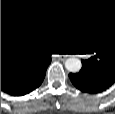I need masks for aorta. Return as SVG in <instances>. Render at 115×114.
<instances>
[{
  "label": "aorta",
  "mask_w": 115,
  "mask_h": 114,
  "mask_svg": "<svg viewBox=\"0 0 115 114\" xmlns=\"http://www.w3.org/2000/svg\"><path fill=\"white\" fill-rule=\"evenodd\" d=\"M82 67V63L77 57H69L65 61V68L72 73L78 72Z\"/></svg>",
  "instance_id": "1"
}]
</instances>
